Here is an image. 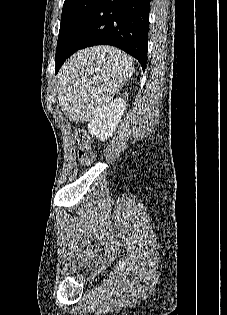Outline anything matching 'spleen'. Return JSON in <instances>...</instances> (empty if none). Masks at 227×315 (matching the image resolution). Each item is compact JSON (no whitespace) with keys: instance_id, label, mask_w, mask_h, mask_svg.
<instances>
[{"instance_id":"3e777b00","label":"spleen","mask_w":227,"mask_h":315,"mask_svg":"<svg viewBox=\"0 0 227 315\" xmlns=\"http://www.w3.org/2000/svg\"><path fill=\"white\" fill-rule=\"evenodd\" d=\"M132 71V58L113 47L78 52L59 74L58 99L62 110L73 120H92Z\"/></svg>"}]
</instances>
